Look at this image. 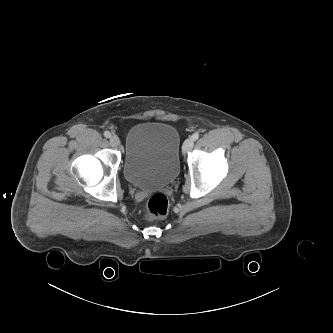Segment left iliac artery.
<instances>
[{"label":"left iliac artery","instance_id":"obj_1","mask_svg":"<svg viewBox=\"0 0 333 333\" xmlns=\"http://www.w3.org/2000/svg\"><path fill=\"white\" fill-rule=\"evenodd\" d=\"M199 138V133L198 132H196V133H194L193 135H192V139L195 141V140H197Z\"/></svg>","mask_w":333,"mask_h":333}]
</instances>
